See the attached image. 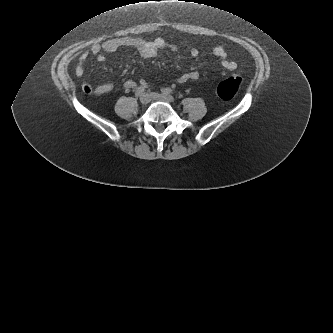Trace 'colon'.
I'll list each match as a JSON object with an SVG mask.
<instances>
[{
    "label": "colon",
    "mask_w": 333,
    "mask_h": 333,
    "mask_svg": "<svg viewBox=\"0 0 333 333\" xmlns=\"http://www.w3.org/2000/svg\"><path fill=\"white\" fill-rule=\"evenodd\" d=\"M242 78L238 75L231 76L221 81L217 86V94L224 100L232 99L240 89Z\"/></svg>",
    "instance_id": "colon-1"
}]
</instances>
